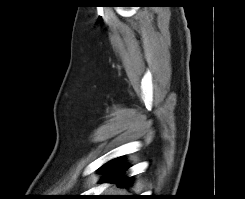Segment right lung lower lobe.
Instances as JSON below:
<instances>
[{"label": "right lung lower lobe", "mask_w": 245, "mask_h": 199, "mask_svg": "<svg viewBox=\"0 0 245 199\" xmlns=\"http://www.w3.org/2000/svg\"><path fill=\"white\" fill-rule=\"evenodd\" d=\"M100 170L104 173L103 181L116 182L119 187H128L131 179L123 174L127 170L121 158H115L104 164Z\"/></svg>", "instance_id": "1"}]
</instances>
